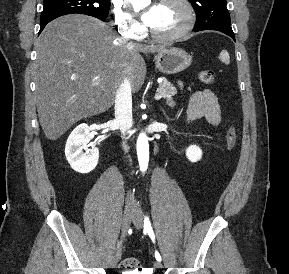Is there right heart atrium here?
Segmentation results:
<instances>
[{"label":"right heart atrium","instance_id":"1","mask_svg":"<svg viewBox=\"0 0 289 274\" xmlns=\"http://www.w3.org/2000/svg\"><path fill=\"white\" fill-rule=\"evenodd\" d=\"M113 16L118 30L131 38H138L143 31L142 26L123 9L119 1L113 4Z\"/></svg>","mask_w":289,"mask_h":274}]
</instances>
